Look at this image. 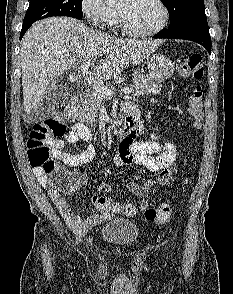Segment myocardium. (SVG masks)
I'll return each instance as SVG.
<instances>
[{
	"label": "myocardium",
	"mask_w": 233,
	"mask_h": 294,
	"mask_svg": "<svg viewBox=\"0 0 233 294\" xmlns=\"http://www.w3.org/2000/svg\"><path fill=\"white\" fill-rule=\"evenodd\" d=\"M154 2L159 6V8L162 11V20H161V23L157 27H155L154 29L149 30V31L135 30L129 25L124 13L119 11V19H120V24H121L122 30L130 36L139 37V38L151 37V36L157 35L162 30H164L166 28V26L168 25L169 19H170L168 7L163 2V0H154Z\"/></svg>",
	"instance_id": "obj_1"
}]
</instances>
